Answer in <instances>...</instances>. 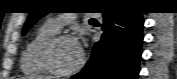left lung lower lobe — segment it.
I'll list each match as a JSON object with an SVG mask.
<instances>
[{
  "label": "left lung lower lobe",
  "instance_id": "obj_1",
  "mask_svg": "<svg viewBox=\"0 0 177 79\" xmlns=\"http://www.w3.org/2000/svg\"><path fill=\"white\" fill-rule=\"evenodd\" d=\"M102 38L71 79H137L143 41L141 12H103Z\"/></svg>",
  "mask_w": 177,
  "mask_h": 79
}]
</instances>
